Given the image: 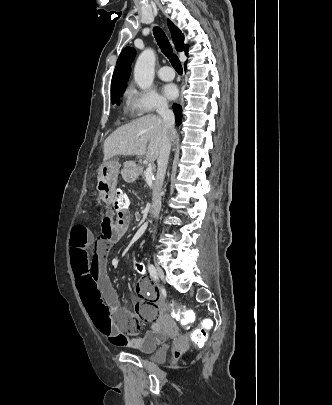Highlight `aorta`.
I'll return each mask as SVG.
<instances>
[{"instance_id": "aorta-1", "label": "aorta", "mask_w": 332, "mask_h": 405, "mask_svg": "<svg viewBox=\"0 0 332 405\" xmlns=\"http://www.w3.org/2000/svg\"><path fill=\"white\" fill-rule=\"evenodd\" d=\"M155 52L145 49L138 57L134 67V80L140 89L146 90L154 80Z\"/></svg>"}]
</instances>
